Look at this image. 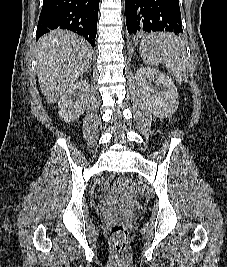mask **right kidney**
<instances>
[{"instance_id": "ca27d5eb", "label": "right kidney", "mask_w": 227, "mask_h": 267, "mask_svg": "<svg viewBox=\"0 0 227 267\" xmlns=\"http://www.w3.org/2000/svg\"><path fill=\"white\" fill-rule=\"evenodd\" d=\"M90 85L85 80L74 83L58 102L59 117L67 122L77 120L89 101Z\"/></svg>"}]
</instances>
